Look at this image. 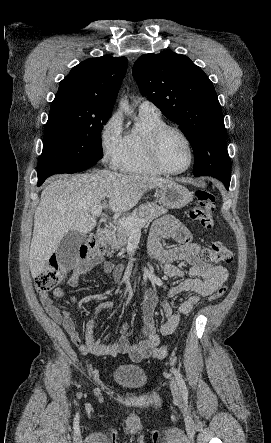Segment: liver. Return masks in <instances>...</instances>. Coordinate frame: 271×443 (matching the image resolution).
Masks as SVG:
<instances>
[{
    "label": "liver",
    "mask_w": 271,
    "mask_h": 443,
    "mask_svg": "<svg viewBox=\"0 0 271 443\" xmlns=\"http://www.w3.org/2000/svg\"><path fill=\"white\" fill-rule=\"evenodd\" d=\"M168 184L162 178L151 176H124L110 170L96 174L56 176L41 194L35 210L29 265L32 277L42 269L56 251L58 243L69 231L89 233L97 220L91 210L102 204L110 212L132 210L145 192ZM105 198H108L106 202Z\"/></svg>",
    "instance_id": "1"
}]
</instances>
